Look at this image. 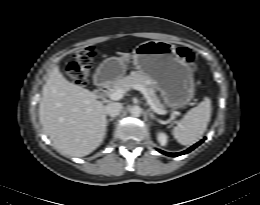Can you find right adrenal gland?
Here are the masks:
<instances>
[{"instance_id": "1", "label": "right adrenal gland", "mask_w": 260, "mask_h": 205, "mask_svg": "<svg viewBox=\"0 0 260 205\" xmlns=\"http://www.w3.org/2000/svg\"><path fill=\"white\" fill-rule=\"evenodd\" d=\"M114 119H115V118H110V119L106 120V126H108L109 122H110V121H113Z\"/></svg>"}]
</instances>
